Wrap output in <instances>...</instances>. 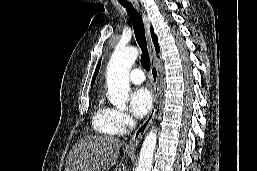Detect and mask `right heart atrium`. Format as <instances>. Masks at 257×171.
<instances>
[{
    "label": "right heart atrium",
    "instance_id": "obj_1",
    "mask_svg": "<svg viewBox=\"0 0 257 171\" xmlns=\"http://www.w3.org/2000/svg\"><path fill=\"white\" fill-rule=\"evenodd\" d=\"M115 116H116L117 124L122 131L126 130L131 126L132 118L126 111L115 110Z\"/></svg>",
    "mask_w": 257,
    "mask_h": 171
}]
</instances>
